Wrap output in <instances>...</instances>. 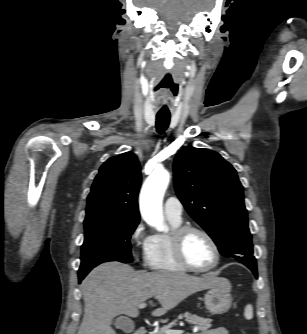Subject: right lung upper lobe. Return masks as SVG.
Listing matches in <instances>:
<instances>
[{"label": "right lung upper lobe", "mask_w": 307, "mask_h": 334, "mask_svg": "<svg viewBox=\"0 0 307 334\" xmlns=\"http://www.w3.org/2000/svg\"><path fill=\"white\" fill-rule=\"evenodd\" d=\"M141 172L132 152L109 158L99 170L87 197L86 218L139 222Z\"/></svg>", "instance_id": "cb5924a9"}]
</instances>
